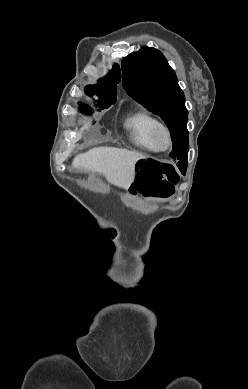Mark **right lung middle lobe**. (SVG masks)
Listing matches in <instances>:
<instances>
[{
	"label": "right lung middle lobe",
	"mask_w": 248,
	"mask_h": 389,
	"mask_svg": "<svg viewBox=\"0 0 248 389\" xmlns=\"http://www.w3.org/2000/svg\"><path fill=\"white\" fill-rule=\"evenodd\" d=\"M86 94L89 96H93V94L88 93V92H86ZM98 97H99V100L97 101V103H98L99 111L104 109V108L110 107L112 104H114L116 102V97H107V96H101V97L98 96ZM88 110H89L88 108H85V107L82 108L83 112H86Z\"/></svg>",
	"instance_id": "right-lung-middle-lobe-1"
}]
</instances>
